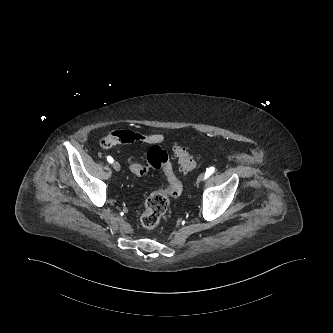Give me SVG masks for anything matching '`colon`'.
Returning a JSON list of instances; mask_svg holds the SVG:
<instances>
[{"label":"colon","mask_w":333,"mask_h":333,"mask_svg":"<svg viewBox=\"0 0 333 333\" xmlns=\"http://www.w3.org/2000/svg\"><path fill=\"white\" fill-rule=\"evenodd\" d=\"M100 145L102 148L108 149L114 143L110 137H106L101 140ZM172 152L181 171L188 172L196 167L197 159L189 153L185 146L176 144L173 146ZM128 168L137 176L147 174L151 168L161 169L166 176V184L148 197L139 218L140 224L144 228L153 229L166 213L169 197H177L182 193V183L174 172L168 153L159 145L151 146L146 152L144 160L130 158Z\"/></svg>","instance_id":"5ec220e1"}]
</instances>
